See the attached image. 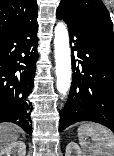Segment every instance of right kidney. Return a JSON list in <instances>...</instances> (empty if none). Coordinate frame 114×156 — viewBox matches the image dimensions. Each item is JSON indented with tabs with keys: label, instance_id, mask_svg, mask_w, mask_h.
<instances>
[{
	"label": "right kidney",
	"instance_id": "obj_1",
	"mask_svg": "<svg viewBox=\"0 0 114 156\" xmlns=\"http://www.w3.org/2000/svg\"><path fill=\"white\" fill-rule=\"evenodd\" d=\"M26 145L23 141H15L0 151V156H25Z\"/></svg>",
	"mask_w": 114,
	"mask_h": 156
}]
</instances>
